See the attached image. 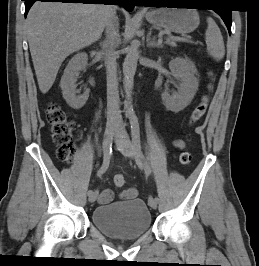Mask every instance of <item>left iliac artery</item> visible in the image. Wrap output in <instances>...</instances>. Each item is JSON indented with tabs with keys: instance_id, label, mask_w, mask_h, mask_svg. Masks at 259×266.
<instances>
[{
	"instance_id": "44dca946",
	"label": "left iliac artery",
	"mask_w": 259,
	"mask_h": 266,
	"mask_svg": "<svg viewBox=\"0 0 259 266\" xmlns=\"http://www.w3.org/2000/svg\"><path fill=\"white\" fill-rule=\"evenodd\" d=\"M129 118H130V124H131L132 142H133L136 155L143 161L144 167H145V173L149 175L151 173V170H150L149 164L141 148L140 128H139L138 118L135 114H131ZM154 199H155V203L160 202V199H158V196H155Z\"/></svg>"
}]
</instances>
